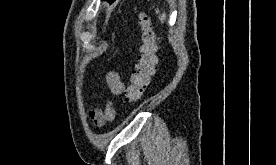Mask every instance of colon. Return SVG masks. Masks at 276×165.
I'll list each match as a JSON object with an SVG mask.
<instances>
[{
  "label": "colon",
  "instance_id": "obj_1",
  "mask_svg": "<svg viewBox=\"0 0 276 165\" xmlns=\"http://www.w3.org/2000/svg\"><path fill=\"white\" fill-rule=\"evenodd\" d=\"M138 25L140 28L138 62L132 71L130 85L124 94L125 102L129 104H134L142 98L158 64L156 35L148 15L139 12Z\"/></svg>",
  "mask_w": 276,
  "mask_h": 165
}]
</instances>
